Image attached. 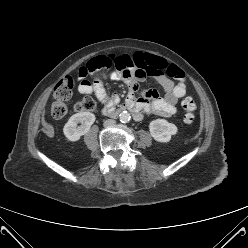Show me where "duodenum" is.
I'll list each match as a JSON object with an SVG mask.
<instances>
[{"label":"duodenum","mask_w":248,"mask_h":248,"mask_svg":"<svg viewBox=\"0 0 248 248\" xmlns=\"http://www.w3.org/2000/svg\"><path fill=\"white\" fill-rule=\"evenodd\" d=\"M124 110L133 111V109L131 108L130 102L126 101L125 104H123L119 109L114 110V111H109L108 114L112 117H116L120 112Z\"/></svg>","instance_id":"duodenum-1"}]
</instances>
